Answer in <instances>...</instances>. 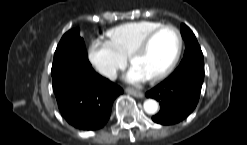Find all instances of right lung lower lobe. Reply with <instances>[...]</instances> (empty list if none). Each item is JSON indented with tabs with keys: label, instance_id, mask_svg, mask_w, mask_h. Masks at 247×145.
Segmentation results:
<instances>
[{
	"label": "right lung lower lobe",
	"instance_id": "98d812e1",
	"mask_svg": "<svg viewBox=\"0 0 247 145\" xmlns=\"http://www.w3.org/2000/svg\"><path fill=\"white\" fill-rule=\"evenodd\" d=\"M59 110L75 128L96 130L108 121L114 99L123 90L97 74L88 58L75 57L51 70Z\"/></svg>",
	"mask_w": 247,
	"mask_h": 145
}]
</instances>
